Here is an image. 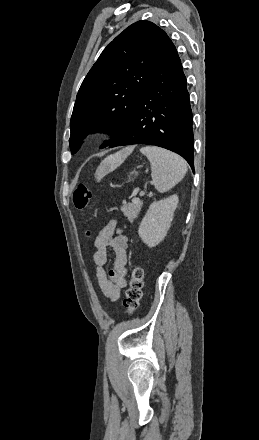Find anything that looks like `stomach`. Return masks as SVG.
I'll list each match as a JSON object with an SVG mask.
<instances>
[{
    "label": "stomach",
    "instance_id": "obj_1",
    "mask_svg": "<svg viewBox=\"0 0 259 440\" xmlns=\"http://www.w3.org/2000/svg\"><path fill=\"white\" fill-rule=\"evenodd\" d=\"M133 174H134V172H132V173L128 176L129 180L131 179V175H133ZM135 174H136V172H135Z\"/></svg>",
    "mask_w": 259,
    "mask_h": 440
}]
</instances>
